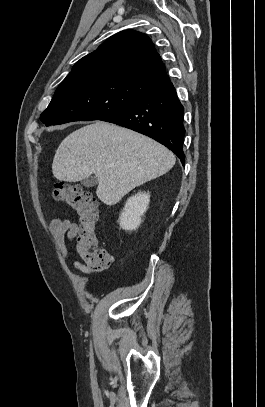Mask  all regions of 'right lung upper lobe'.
I'll list each match as a JSON object with an SVG mask.
<instances>
[{"instance_id": "obj_1", "label": "right lung upper lobe", "mask_w": 265, "mask_h": 407, "mask_svg": "<svg viewBox=\"0 0 265 407\" xmlns=\"http://www.w3.org/2000/svg\"><path fill=\"white\" fill-rule=\"evenodd\" d=\"M102 74L156 87L168 80L165 66L152 41L134 30L121 31L81 58L65 78Z\"/></svg>"}]
</instances>
